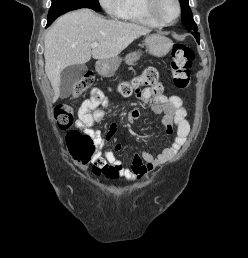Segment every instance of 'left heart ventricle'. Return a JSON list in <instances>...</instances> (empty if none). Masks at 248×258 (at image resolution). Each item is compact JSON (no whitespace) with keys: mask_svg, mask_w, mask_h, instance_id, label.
<instances>
[{"mask_svg":"<svg viewBox=\"0 0 248 258\" xmlns=\"http://www.w3.org/2000/svg\"><path fill=\"white\" fill-rule=\"evenodd\" d=\"M156 12L165 21H172L176 16V5L174 0H157Z\"/></svg>","mask_w":248,"mask_h":258,"instance_id":"left-heart-ventricle-1","label":"left heart ventricle"}]
</instances>
